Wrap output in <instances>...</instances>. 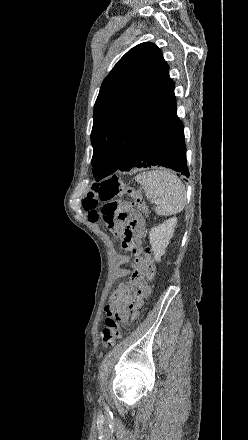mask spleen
<instances>
[{
	"label": "spleen",
	"mask_w": 248,
	"mask_h": 440,
	"mask_svg": "<svg viewBox=\"0 0 248 440\" xmlns=\"http://www.w3.org/2000/svg\"><path fill=\"white\" fill-rule=\"evenodd\" d=\"M135 180L143 186L147 199L154 202L157 215L181 212L186 205V191L180 179L165 169L140 173Z\"/></svg>",
	"instance_id": "spleen-1"
}]
</instances>
